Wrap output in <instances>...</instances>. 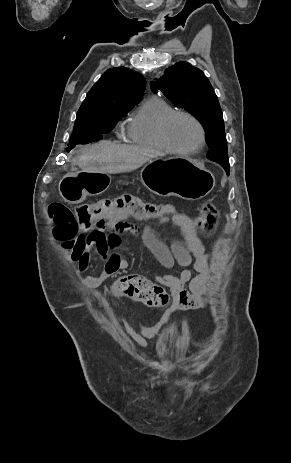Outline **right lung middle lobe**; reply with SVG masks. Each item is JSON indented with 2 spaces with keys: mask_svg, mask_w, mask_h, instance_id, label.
Segmentation results:
<instances>
[{
  "mask_svg": "<svg viewBox=\"0 0 291 463\" xmlns=\"http://www.w3.org/2000/svg\"><path fill=\"white\" fill-rule=\"evenodd\" d=\"M133 106L106 104L94 109L79 110L68 150L70 151L77 144L101 140L103 135L110 132Z\"/></svg>",
  "mask_w": 291,
  "mask_h": 463,
  "instance_id": "obj_1",
  "label": "right lung middle lobe"
}]
</instances>
